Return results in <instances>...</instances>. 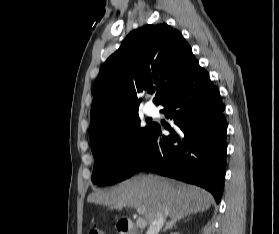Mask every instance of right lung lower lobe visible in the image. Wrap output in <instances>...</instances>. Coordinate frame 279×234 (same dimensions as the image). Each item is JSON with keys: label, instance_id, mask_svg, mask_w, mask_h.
<instances>
[{"label": "right lung lower lobe", "instance_id": "obj_1", "mask_svg": "<svg viewBox=\"0 0 279 234\" xmlns=\"http://www.w3.org/2000/svg\"><path fill=\"white\" fill-rule=\"evenodd\" d=\"M159 104L164 106L165 116L173 119L175 130L164 136L162 127L154 124L139 167L201 186L219 203L227 149V123L219 90L197 63Z\"/></svg>", "mask_w": 279, "mask_h": 234}]
</instances>
